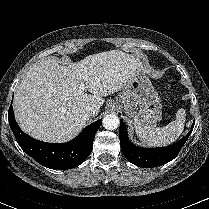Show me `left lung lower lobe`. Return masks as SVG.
Here are the masks:
<instances>
[{
  "label": "left lung lower lobe",
  "mask_w": 209,
  "mask_h": 209,
  "mask_svg": "<svg viewBox=\"0 0 209 209\" xmlns=\"http://www.w3.org/2000/svg\"><path fill=\"white\" fill-rule=\"evenodd\" d=\"M194 124L195 121L192 124V129L188 132V134L177 143L162 148L144 149L131 143L128 138L124 123L121 122L119 137L122 153L131 163L138 167L151 168L163 165L173 160L178 155L179 151L190 136Z\"/></svg>",
  "instance_id": "obj_1"
}]
</instances>
